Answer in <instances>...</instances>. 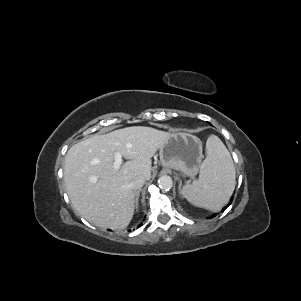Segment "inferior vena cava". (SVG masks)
I'll use <instances>...</instances> for the list:
<instances>
[{
    "instance_id": "602c4592",
    "label": "inferior vena cava",
    "mask_w": 301,
    "mask_h": 301,
    "mask_svg": "<svg viewBox=\"0 0 301 301\" xmlns=\"http://www.w3.org/2000/svg\"><path fill=\"white\" fill-rule=\"evenodd\" d=\"M146 181L144 175H138L131 181V187L135 190L140 189Z\"/></svg>"
}]
</instances>
